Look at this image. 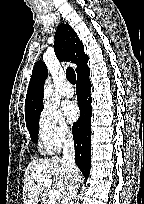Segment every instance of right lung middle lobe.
<instances>
[{"label":"right lung middle lobe","instance_id":"right-lung-middle-lobe-1","mask_svg":"<svg viewBox=\"0 0 144 204\" xmlns=\"http://www.w3.org/2000/svg\"><path fill=\"white\" fill-rule=\"evenodd\" d=\"M42 109H40L30 118L25 119L32 142H37V139H38L39 116H40Z\"/></svg>","mask_w":144,"mask_h":204}]
</instances>
